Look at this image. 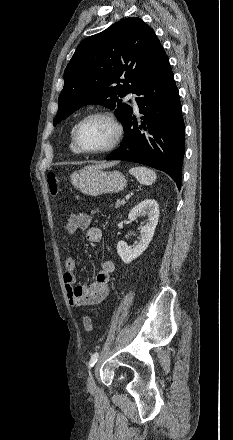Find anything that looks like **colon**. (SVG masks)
<instances>
[{"mask_svg": "<svg viewBox=\"0 0 233 440\" xmlns=\"http://www.w3.org/2000/svg\"><path fill=\"white\" fill-rule=\"evenodd\" d=\"M47 183L51 195L56 196L60 188L61 177L56 173H49ZM83 328L85 332H90L93 329V321L91 317L85 316L83 318Z\"/></svg>", "mask_w": 233, "mask_h": 440, "instance_id": "5ec220e1", "label": "colon"}]
</instances>
